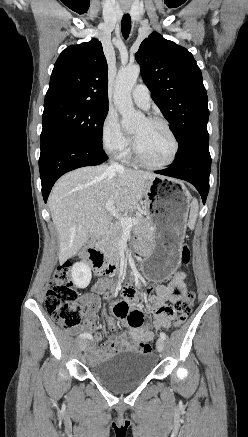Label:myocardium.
I'll return each instance as SVG.
<instances>
[{"label":"myocardium","instance_id":"f54148a6","mask_svg":"<svg viewBox=\"0 0 248 437\" xmlns=\"http://www.w3.org/2000/svg\"><path fill=\"white\" fill-rule=\"evenodd\" d=\"M146 120L150 123L160 124L165 128V130L167 131V133L169 134V136L173 142V151L171 153L170 158L167 161H165L163 163H151V162L147 161L144 158V156L141 154V152L137 146L136 140L134 138L133 143H132L133 153H134L136 159L138 160V162L147 168H151V169L166 168V167L172 165L177 158V155L179 152L178 139H177L175 133L173 132L172 128L170 127L169 123L165 119L160 118V117H148V118H146Z\"/></svg>","mask_w":248,"mask_h":437}]
</instances>
